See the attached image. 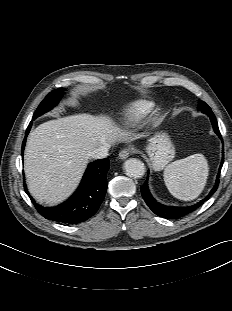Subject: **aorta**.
<instances>
[{"label":"aorta","mask_w":232,"mask_h":311,"mask_svg":"<svg viewBox=\"0 0 232 311\" xmlns=\"http://www.w3.org/2000/svg\"><path fill=\"white\" fill-rule=\"evenodd\" d=\"M124 170L131 178H141L145 174L144 163L136 158H130L124 163Z\"/></svg>","instance_id":"762f6f07"}]
</instances>
